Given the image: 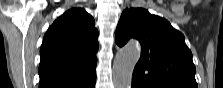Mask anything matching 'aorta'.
<instances>
[{
	"mask_svg": "<svg viewBox=\"0 0 223 88\" xmlns=\"http://www.w3.org/2000/svg\"><path fill=\"white\" fill-rule=\"evenodd\" d=\"M141 55L138 41H130L116 55L113 62V84L115 88H130L132 73Z\"/></svg>",
	"mask_w": 223,
	"mask_h": 88,
	"instance_id": "1",
	"label": "aorta"
}]
</instances>
